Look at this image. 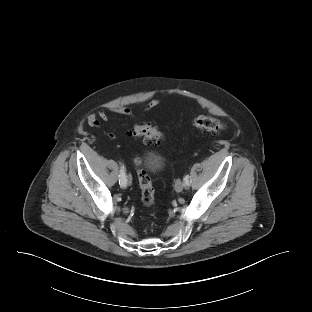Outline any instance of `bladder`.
Masks as SVG:
<instances>
[{"label": "bladder", "mask_w": 312, "mask_h": 312, "mask_svg": "<svg viewBox=\"0 0 312 312\" xmlns=\"http://www.w3.org/2000/svg\"><path fill=\"white\" fill-rule=\"evenodd\" d=\"M143 166L149 171L158 172L164 166V158L159 153L148 152L144 156Z\"/></svg>", "instance_id": "obj_1"}]
</instances>
